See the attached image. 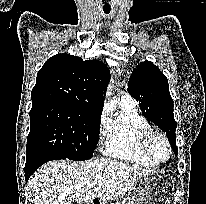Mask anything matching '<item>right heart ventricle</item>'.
Listing matches in <instances>:
<instances>
[{"instance_id":"right-heart-ventricle-1","label":"right heart ventricle","mask_w":206,"mask_h":204,"mask_svg":"<svg viewBox=\"0 0 206 204\" xmlns=\"http://www.w3.org/2000/svg\"><path fill=\"white\" fill-rule=\"evenodd\" d=\"M151 128L135 104L119 101V110L107 119L103 153L134 165L154 167L157 164L143 152L141 139Z\"/></svg>"}]
</instances>
